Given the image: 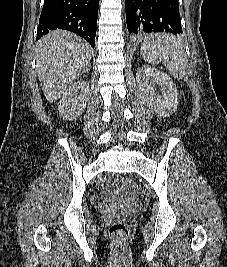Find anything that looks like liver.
<instances>
[{
	"mask_svg": "<svg viewBox=\"0 0 227 267\" xmlns=\"http://www.w3.org/2000/svg\"><path fill=\"white\" fill-rule=\"evenodd\" d=\"M91 52V46L84 39L68 31H51L42 37L36 51V63L47 101H57L88 69Z\"/></svg>",
	"mask_w": 227,
	"mask_h": 267,
	"instance_id": "1",
	"label": "liver"
}]
</instances>
